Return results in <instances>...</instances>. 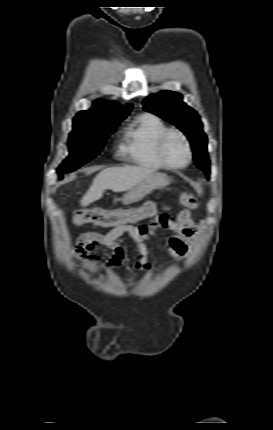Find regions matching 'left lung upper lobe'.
I'll list each match as a JSON object with an SVG mask.
<instances>
[{
    "mask_svg": "<svg viewBox=\"0 0 273 430\" xmlns=\"http://www.w3.org/2000/svg\"><path fill=\"white\" fill-rule=\"evenodd\" d=\"M145 110L176 125L191 142L194 161L201 170L209 168L207 137L196 111L182 101V95L173 91L153 94L143 101Z\"/></svg>",
    "mask_w": 273,
    "mask_h": 430,
    "instance_id": "obj_1",
    "label": "left lung upper lobe"
}]
</instances>
